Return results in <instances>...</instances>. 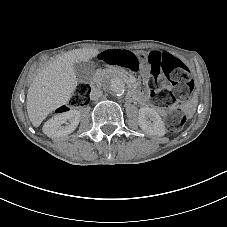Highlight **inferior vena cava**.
I'll return each mask as SVG.
<instances>
[{"label": "inferior vena cava", "instance_id": "602c4592", "mask_svg": "<svg viewBox=\"0 0 227 227\" xmlns=\"http://www.w3.org/2000/svg\"><path fill=\"white\" fill-rule=\"evenodd\" d=\"M101 96H102V90L99 88H94L90 92V99L92 101H98Z\"/></svg>", "mask_w": 227, "mask_h": 227}]
</instances>
